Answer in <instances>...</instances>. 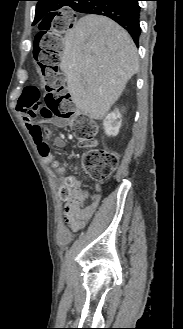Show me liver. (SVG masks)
<instances>
[{
    "label": "liver",
    "instance_id": "6515ba94",
    "mask_svg": "<svg viewBox=\"0 0 183 329\" xmlns=\"http://www.w3.org/2000/svg\"><path fill=\"white\" fill-rule=\"evenodd\" d=\"M60 69L76 107L100 120L138 72L137 48L111 19L87 15L64 36Z\"/></svg>",
    "mask_w": 183,
    "mask_h": 329
}]
</instances>
